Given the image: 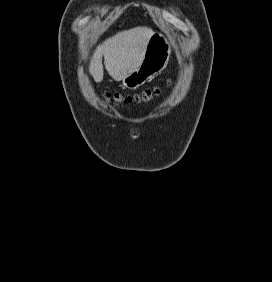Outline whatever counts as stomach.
<instances>
[{"label": "stomach", "mask_w": 272, "mask_h": 282, "mask_svg": "<svg viewBox=\"0 0 272 282\" xmlns=\"http://www.w3.org/2000/svg\"><path fill=\"white\" fill-rule=\"evenodd\" d=\"M171 51L172 47L168 39L160 33L153 32L146 45L141 65L122 80L123 86L130 90L137 89L152 80L166 67Z\"/></svg>", "instance_id": "stomach-1"}]
</instances>
